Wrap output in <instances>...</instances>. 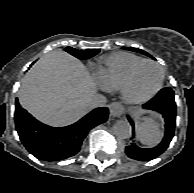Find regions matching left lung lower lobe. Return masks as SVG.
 I'll use <instances>...</instances> for the list:
<instances>
[{
    "mask_svg": "<svg viewBox=\"0 0 194 193\" xmlns=\"http://www.w3.org/2000/svg\"><path fill=\"white\" fill-rule=\"evenodd\" d=\"M143 109H149L162 114L165 119V135L162 142L151 149L140 148L134 143L126 146L125 153L131 159L138 161L152 160L161 155L169 146L175 131L176 120V103L174 100V92L170 88L162 89L153 99L142 106ZM128 120L133 127V120L128 116Z\"/></svg>",
    "mask_w": 194,
    "mask_h": 193,
    "instance_id": "left-lung-lower-lobe-1",
    "label": "left lung lower lobe"
}]
</instances>
